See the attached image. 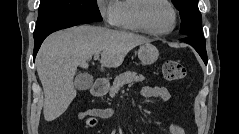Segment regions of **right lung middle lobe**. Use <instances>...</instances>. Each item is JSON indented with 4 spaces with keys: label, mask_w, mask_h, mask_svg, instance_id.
Here are the masks:
<instances>
[{
    "label": "right lung middle lobe",
    "mask_w": 239,
    "mask_h": 134,
    "mask_svg": "<svg viewBox=\"0 0 239 134\" xmlns=\"http://www.w3.org/2000/svg\"><path fill=\"white\" fill-rule=\"evenodd\" d=\"M69 19L101 21L96 0H41L34 36L51 25Z\"/></svg>",
    "instance_id": "right-lung-middle-lobe-1"
}]
</instances>
